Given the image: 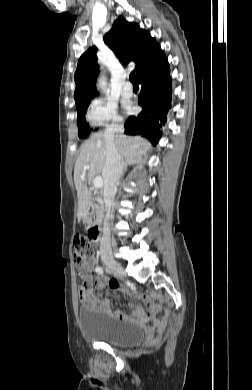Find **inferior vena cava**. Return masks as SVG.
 Listing matches in <instances>:
<instances>
[{
	"mask_svg": "<svg viewBox=\"0 0 252 390\" xmlns=\"http://www.w3.org/2000/svg\"><path fill=\"white\" fill-rule=\"evenodd\" d=\"M124 126L122 124H113L104 133L106 139V161L102 170V177L104 180V203L105 210L110 213L115 194L117 192V185L121 178L124 168V161L122 155L117 150L114 143V136L116 133L122 134ZM100 252H111V238L110 229L105 223L103 227V236L100 242Z\"/></svg>",
	"mask_w": 252,
	"mask_h": 390,
	"instance_id": "1",
	"label": "inferior vena cava"
}]
</instances>
